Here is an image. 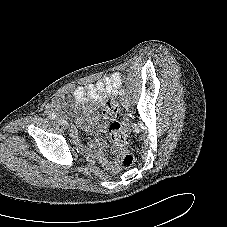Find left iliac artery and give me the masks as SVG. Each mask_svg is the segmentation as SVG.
Here are the masks:
<instances>
[{"label":"left iliac artery","instance_id":"1","mask_svg":"<svg viewBox=\"0 0 227 227\" xmlns=\"http://www.w3.org/2000/svg\"><path fill=\"white\" fill-rule=\"evenodd\" d=\"M119 95H121L122 97L125 96V92H124L123 89H121V90L119 91Z\"/></svg>","mask_w":227,"mask_h":227}]
</instances>
